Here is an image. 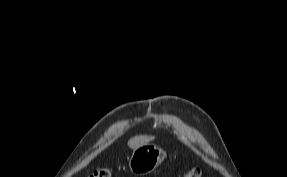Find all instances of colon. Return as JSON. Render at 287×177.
Masks as SVG:
<instances>
[{"instance_id":"1","label":"colon","mask_w":287,"mask_h":177,"mask_svg":"<svg viewBox=\"0 0 287 177\" xmlns=\"http://www.w3.org/2000/svg\"><path fill=\"white\" fill-rule=\"evenodd\" d=\"M90 177H112V171L108 167H100ZM183 177H202V171L196 167L190 168L184 173Z\"/></svg>"}]
</instances>
